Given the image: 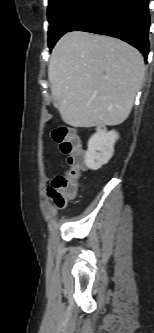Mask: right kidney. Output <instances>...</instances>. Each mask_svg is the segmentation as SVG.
Wrapping results in <instances>:
<instances>
[{"label": "right kidney", "instance_id": "1", "mask_svg": "<svg viewBox=\"0 0 154 333\" xmlns=\"http://www.w3.org/2000/svg\"><path fill=\"white\" fill-rule=\"evenodd\" d=\"M119 138L116 131L97 129V132L89 139L88 149L85 153V164L89 169L98 170L108 163L114 153V144Z\"/></svg>", "mask_w": 154, "mask_h": 333}]
</instances>
